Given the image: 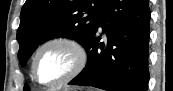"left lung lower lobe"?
<instances>
[{
	"label": "left lung lower lobe",
	"mask_w": 173,
	"mask_h": 91,
	"mask_svg": "<svg viewBox=\"0 0 173 91\" xmlns=\"http://www.w3.org/2000/svg\"><path fill=\"white\" fill-rule=\"evenodd\" d=\"M150 16L148 0H107L85 47L86 68L69 85L147 91Z\"/></svg>",
	"instance_id": "obj_1"
}]
</instances>
